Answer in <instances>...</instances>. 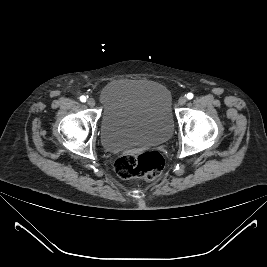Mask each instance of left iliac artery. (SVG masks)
I'll use <instances>...</instances> for the list:
<instances>
[{
  "label": "left iliac artery",
  "mask_w": 267,
  "mask_h": 267,
  "mask_svg": "<svg viewBox=\"0 0 267 267\" xmlns=\"http://www.w3.org/2000/svg\"><path fill=\"white\" fill-rule=\"evenodd\" d=\"M187 98H188V99H192V98H193V94H192V93H188V94H187Z\"/></svg>",
  "instance_id": "obj_1"
}]
</instances>
